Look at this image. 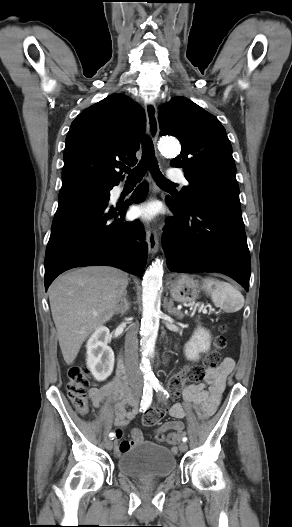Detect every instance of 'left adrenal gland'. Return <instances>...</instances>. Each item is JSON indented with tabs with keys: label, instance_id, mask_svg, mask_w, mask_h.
I'll return each instance as SVG.
<instances>
[{
	"label": "left adrenal gland",
	"instance_id": "obj_1",
	"mask_svg": "<svg viewBox=\"0 0 292 527\" xmlns=\"http://www.w3.org/2000/svg\"><path fill=\"white\" fill-rule=\"evenodd\" d=\"M174 303H173V300L170 299L169 302L167 303V305L165 306L166 309H167V312L170 314V315H174L176 316L178 319H182L183 318V313L180 312L179 310H177L175 307H173Z\"/></svg>",
	"mask_w": 292,
	"mask_h": 527
}]
</instances>
